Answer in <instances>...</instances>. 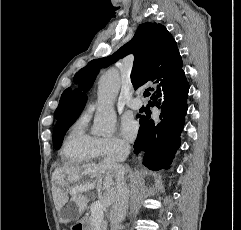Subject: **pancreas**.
I'll list each match as a JSON object with an SVG mask.
<instances>
[{"instance_id":"pancreas-1","label":"pancreas","mask_w":241,"mask_h":230,"mask_svg":"<svg viewBox=\"0 0 241 230\" xmlns=\"http://www.w3.org/2000/svg\"><path fill=\"white\" fill-rule=\"evenodd\" d=\"M86 220H87V223L90 225L91 230H102L101 224L103 223V221L100 225L97 226L92 222V216H87Z\"/></svg>"}]
</instances>
